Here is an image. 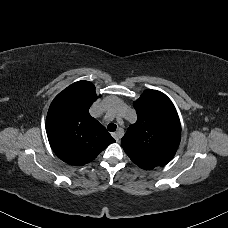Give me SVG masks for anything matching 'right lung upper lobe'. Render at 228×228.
<instances>
[{"mask_svg": "<svg viewBox=\"0 0 228 228\" xmlns=\"http://www.w3.org/2000/svg\"><path fill=\"white\" fill-rule=\"evenodd\" d=\"M97 99L95 86L88 81L73 83L52 101L46 131L55 154L71 165H84L115 140L89 108Z\"/></svg>", "mask_w": 228, "mask_h": 228, "instance_id": "1", "label": "right lung upper lobe"}]
</instances>
